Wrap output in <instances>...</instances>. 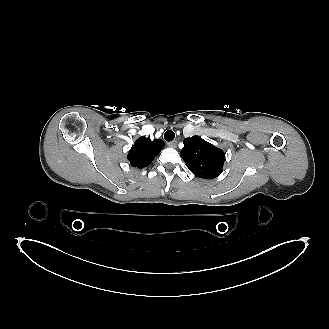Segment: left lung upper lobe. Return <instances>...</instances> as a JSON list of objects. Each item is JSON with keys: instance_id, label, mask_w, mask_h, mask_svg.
<instances>
[{"instance_id": "1", "label": "left lung upper lobe", "mask_w": 329, "mask_h": 329, "mask_svg": "<svg viewBox=\"0 0 329 329\" xmlns=\"http://www.w3.org/2000/svg\"><path fill=\"white\" fill-rule=\"evenodd\" d=\"M181 157L192 173L200 178L212 179L222 173L224 152L195 135L183 140Z\"/></svg>"}]
</instances>
